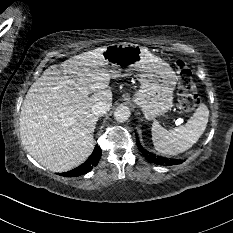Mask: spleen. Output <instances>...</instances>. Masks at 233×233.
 <instances>
[{
    "instance_id": "spleen-1",
    "label": "spleen",
    "mask_w": 233,
    "mask_h": 233,
    "mask_svg": "<svg viewBox=\"0 0 233 233\" xmlns=\"http://www.w3.org/2000/svg\"><path fill=\"white\" fill-rule=\"evenodd\" d=\"M209 118V110L200 104L185 125L167 130L158 121L152 124V141L161 154L176 155L191 148L204 133Z\"/></svg>"
}]
</instances>
